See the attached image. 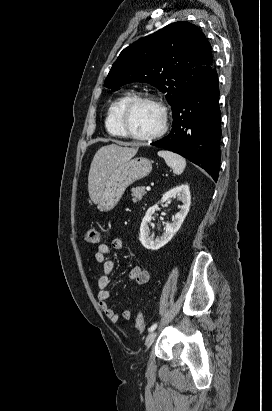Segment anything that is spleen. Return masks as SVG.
<instances>
[{"label": "spleen", "instance_id": "obj_1", "mask_svg": "<svg viewBox=\"0 0 272 411\" xmlns=\"http://www.w3.org/2000/svg\"><path fill=\"white\" fill-rule=\"evenodd\" d=\"M158 156L165 160L166 164L173 170L174 174L180 175L183 173L186 167V160L182 156L167 150L158 151Z\"/></svg>", "mask_w": 272, "mask_h": 411}]
</instances>
